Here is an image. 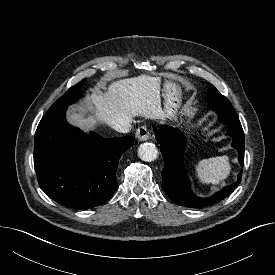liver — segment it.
Instances as JSON below:
<instances>
[{
  "label": "liver",
  "mask_w": 275,
  "mask_h": 275,
  "mask_svg": "<svg viewBox=\"0 0 275 275\" xmlns=\"http://www.w3.org/2000/svg\"><path fill=\"white\" fill-rule=\"evenodd\" d=\"M161 82L158 77L140 75L112 82L106 92H93L91 102L94 115L71 110L67 117L70 124L81 129H94L97 121L112 127L136 116L148 119H165L167 114L161 105Z\"/></svg>",
  "instance_id": "6515ba94"
}]
</instances>
